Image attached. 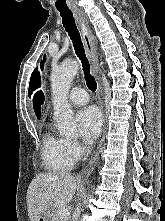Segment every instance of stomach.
Here are the masks:
<instances>
[{"label": "stomach", "mask_w": 165, "mask_h": 221, "mask_svg": "<svg viewBox=\"0 0 165 221\" xmlns=\"http://www.w3.org/2000/svg\"><path fill=\"white\" fill-rule=\"evenodd\" d=\"M54 210L53 207L48 208L39 216L37 221H52Z\"/></svg>", "instance_id": "obj_1"}]
</instances>
